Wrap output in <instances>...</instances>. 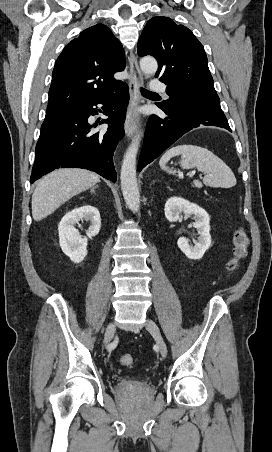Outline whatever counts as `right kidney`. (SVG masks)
<instances>
[{
    "instance_id": "obj_1",
    "label": "right kidney",
    "mask_w": 272,
    "mask_h": 452,
    "mask_svg": "<svg viewBox=\"0 0 272 452\" xmlns=\"http://www.w3.org/2000/svg\"><path fill=\"white\" fill-rule=\"evenodd\" d=\"M90 221L86 232L87 237L82 238L74 227L79 221ZM101 228L100 213L96 207L84 205L65 214L58 225L59 243L62 251L74 263H80L87 255L88 238L96 236Z\"/></svg>"
}]
</instances>
